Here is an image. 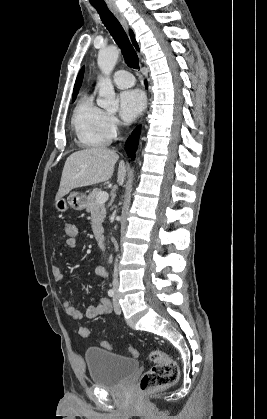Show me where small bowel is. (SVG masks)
Masks as SVG:
<instances>
[{"label": "small bowel", "mask_w": 267, "mask_h": 419, "mask_svg": "<svg viewBox=\"0 0 267 419\" xmlns=\"http://www.w3.org/2000/svg\"><path fill=\"white\" fill-rule=\"evenodd\" d=\"M68 246V245H67ZM77 246V245H76ZM76 246H68L70 249H75ZM51 272L56 282H62L65 275L60 267L52 266ZM95 274L99 277L106 278L107 272L102 266H97L94 270ZM62 306L65 309L68 316L73 320H80L83 317V313L77 309L71 302L70 299H64ZM111 312V304L108 299L102 298L97 305H90L87 307L85 315L87 318L93 319L101 316H106Z\"/></svg>", "instance_id": "small-bowel-1"}]
</instances>
